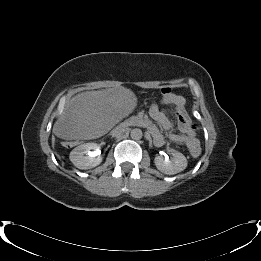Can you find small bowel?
Masks as SVG:
<instances>
[{"label": "small bowel", "instance_id": "obj_1", "mask_svg": "<svg viewBox=\"0 0 261 261\" xmlns=\"http://www.w3.org/2000/svg\"><path fill=\"white\" fill-rule=\"evenodd\" d=\"M173 95H170L167 98H164L162 100L163 104H168L171 105L169 102L170 97ZM173 107V109L177 108L173 105H171ZM185 111V109H184ZM150 117L151 119L155 122V124L161 126L162 128L166 129V130H170L172 127V122L169 119V117L167 116V114L160 108V106L158 104H154L149 111ZM137 122L140 125H143L145 127H147L150 131V133L153 136L154 142L156 145H162L164 142V138L163 135L159 132L157 126L153 123H151L150 121H148L147 119L144 118H138ZM192 128V127H191ZM193 130V128H192ZM167 137L174 141L177 142L179 144L185 145L187 147H189L190 145H199V141L197 140L196 136H195V131L193 130V133L191 136L186 137L184 136L182 133L181 134H174L172 132H168Z\"/></svg>", "mask_w": 261, "mask_h": 261}]
</instances>
